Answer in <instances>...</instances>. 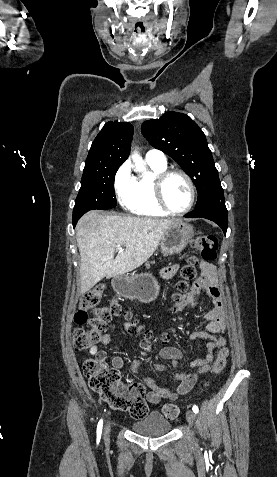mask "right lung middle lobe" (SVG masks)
Masks as SVG:
<instances>
[{"label": "right lung middle lobe", "instance_id": "obj_1", "mask_svg": "<svg viewBox=\"0 0 277 477\" xmlns=\"http://www.w3.org/2000/svg\"><path fill=\"white\" fill-rule=\"evenodd\" d=\"M118 168L83 172L81 188L73 209V226L89 210L110 209L117 205L114 179Z\"/></svg>", "mask_w": 277, "mask_h": 477}]
</instances>
